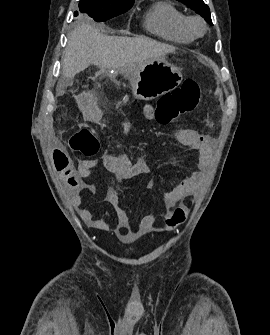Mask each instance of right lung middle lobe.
Instances as JSON below:
<instances>
[{"instance_id":"dd1d6c3e","label":"right lung middle lobe","mask_w":270,"mask_h":335,"mask_svg":"<svg viewBox=\"0 0 270 335\" xmlns=\"http://www.w3.org/2000/svg\"><path fill=\"white\" fill-rule=\"evenodd\" d=\"M133 3L134 2L127 4L104 5L100 4L96 0H80L79 13H82L87 19L102 22L126 12L133 6ZM74 15L78 16V12H75Z\"/></svg>"}]
</instances>
